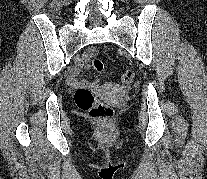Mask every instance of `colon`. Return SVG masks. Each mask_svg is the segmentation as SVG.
<instances>
[{
	"label": "colon",
	"mask_w": 207,
	"mask_h": 179,
	"mask_svg": "<svg viewBox=\"0 0 207 179\" xmlns=\"http://www.w3.org/2000/svg\"><path fill=\"white\" fill-rule=\"evenodd\" d=\"M93 66L97 71H102L104 66L103 63L98 60H93ZM122 83L125 85L130 84L133 81V73L131 71H127L122 75ZM75 103L76 106L85 112H88L89 116L101 123L109 124L114 117V110L98 101L92 91L85 87H80L75 92Z\"/></svg>",
	"instance_id": "5ec220e1"
}]
</instances>
